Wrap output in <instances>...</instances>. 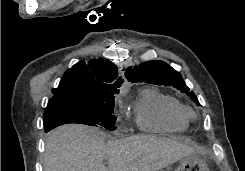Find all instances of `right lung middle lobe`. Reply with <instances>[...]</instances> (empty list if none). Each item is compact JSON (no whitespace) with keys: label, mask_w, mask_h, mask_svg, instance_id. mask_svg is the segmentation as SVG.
Masks as SVG:
<instances>
[{"label":"right lung middle lobe","mask_w":245,"mask_h":171,"mask_svg":"<svg viewBox=\"0 0 245 171\" xmlns=\"http://www.w3.org/2000/svg\"><path fill=\"white\" fill-rule=\"evenodd\" d=\"M115 96L91 100H60L49 102L44 111V129L49 131L66 123H80L115 129Z\"/></svg>","instance_id":"1"}]
</instances>
